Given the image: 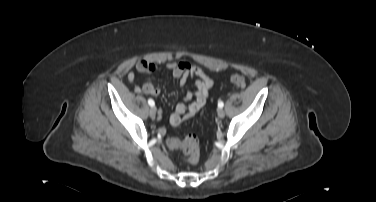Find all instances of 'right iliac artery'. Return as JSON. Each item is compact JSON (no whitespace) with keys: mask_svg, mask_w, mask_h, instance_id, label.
<instances>
[{"mask_svg":"<svg viewBox=\"0 0 376 202\" xmlns=\"http://www.w3.org/2000/svg\"><path fill=\"white\" fill-rule=\"evenodd\" d=\"M148 104L153 107L155 105V102L152 99H148Z\"/></svg>","mask_w":376,"mask_h":202,"instance_id":"1","label":"right iliac artery"}]
</instances>
